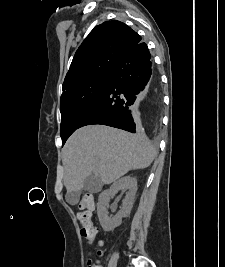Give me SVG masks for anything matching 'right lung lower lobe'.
Returning a JSON list of instances; mask_svg holds the SVG:
<instances>
[{
	"mask_svg": "<svg viewBox=\"0 0 225 267\" xmlns=\"http://www.w3.org/2000/svg\"><path fill=\"white\" fill-rule=\"evenodd\" d=\"M151 87L158 91L159 80L148 46L140 42L119 58L101 96L80 121L78 128L103 124L135 133L133 104L137 97L145 94Z\"/></svg>",
	"mask_w": 225,
	"mask_h": 267,
	"instance_id": "right-lung-lower-lobe-1",
	"label": "right lung lower lobe"
}]
</instances>
